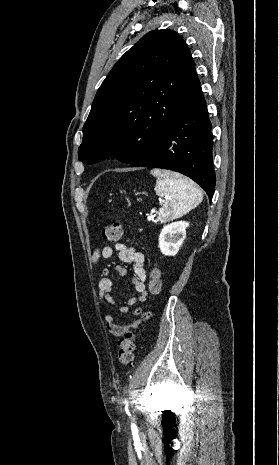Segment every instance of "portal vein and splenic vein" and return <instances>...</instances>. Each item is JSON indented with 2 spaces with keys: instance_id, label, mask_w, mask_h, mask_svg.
<instances>
[{
  "instance_id": "portal-vein-and-splenic-vein-1",
  "label": "portal vein and splenic vein",
  "mask_w": 279,
  "mask_h": 465,
  "mask_svg": "<svg viewBox=\"0 0 279 465\" xmlns=\"http://www.w3.org/2000/svg\"><path fill=\"white\" fill-rule=\"evenodd\" d=\"M152 219H153V215H152V213H151L150 215L147 216V220L150 221V220H152Z\"/></svg>"
}]
</instances>
